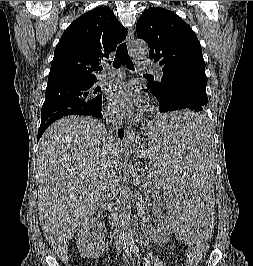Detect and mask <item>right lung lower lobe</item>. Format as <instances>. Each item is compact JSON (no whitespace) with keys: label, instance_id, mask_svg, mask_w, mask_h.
<instances>
[{"label":"right lung lower lobe","instance_id":"obj_1","mask_svg":"<svg viewBox=\"0 0 253 266\" xmlns=\"http://www.w3.org/2000/svg\"><path fill=\"white\" fill-rule=\"evenodd\" d=\"M102 109L101 107L96 110V111H93V112H87L83 115H91V116H94V117H97V118H102ZM48 126H40L39 130H38V136H37V141H39L40 137L42 136V134L44 133V131L47 129ZM118 136L123 139V136H124V130L123 129H119L118 130Z\"/></svg>","mask_w":253,"mask_h":266}]
</instances>
